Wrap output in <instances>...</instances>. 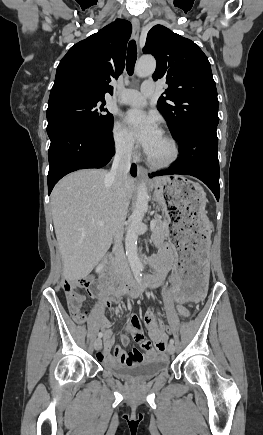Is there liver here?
<instances>
[{
  "instance_id": "6515ba94",
  "label": "liver",
  "mask_w": 263,
  "mask_h": 435,
  "mask_svg": "<svg viewBox=\"0 0 263 435\" xmlns=\"http://www.w3.org/2000/svg\"><path fill=\"white\" fill-rule=\"evenodd\" d=\"M106 170H80L60 180L51 193V211L63 276L68 281L83 279L103 258L112 243L117 225L125 216L116 210L113 185ZM134 179L126 180L128 202ZM102 221V225L97 223Z\"/></svg>"
}]
</instances>
